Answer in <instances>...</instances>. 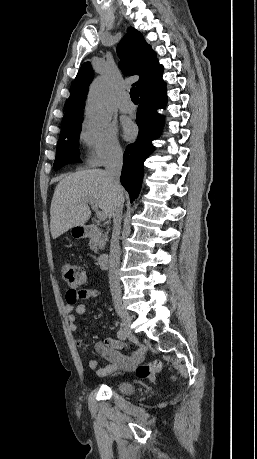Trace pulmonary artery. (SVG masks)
<instances>
[{"instance_id": "pulmonary-artery-1", "label": "pulmonary artery", "mask_w": 257, "mask_h": 459, "mask_svg": "<svg viewBox=\"0 0 257 459\" xmlns=\"http://www.w3.org/2000/svg\"><path fill=\"white\" fill-rule=\"evenodd\" d=\"M119 109L123 113H131L134 110V105L129 99V95L126 94L123 96L120 104Z\"/></svg>"}]
</instances>
